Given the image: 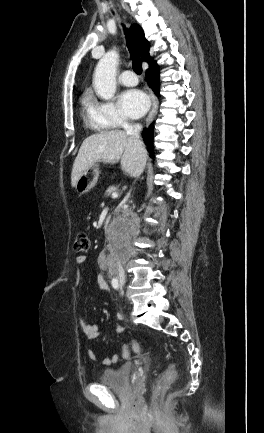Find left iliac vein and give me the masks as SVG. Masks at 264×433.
<instances>
[{"mask_svg":"<svg viewBox=\"0 0 264 433\" xmlns=\"http://www.w3.org/2000/svg\"><path fill=\"white\" fill-rule=\"evenodd\" d=\"M123 285H124V281L122 280V281H121V284H120V286H121V288H120L121 293H122V287H123Z\"/></svg>","mask_w":264,"mask_h":433,"instance_id":"4c4485c4","label":"left iliac vein"}]
</instances>
